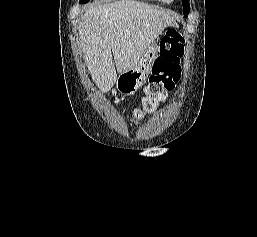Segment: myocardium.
Segmentation results:
<instances>
[{"label": "myocardium", "mask_w": 257, "mask_h": 237, "mask_svg": "<svg viewBox=\"0 0 257 237\" xmlns=\"http://www.w3.org/2000/svg\"><path fill=\"white\" fill-rule=\"evenodd\" d=\"M166 2H172L173 0H165Z\"/></svg>", "instance_id": "1"}]
</instances>
